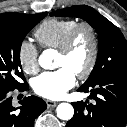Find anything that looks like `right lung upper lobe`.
I'll return each mask as SVG.
<instances>
[{
	"label": "right lung upper lobe",
	"mask_w": 127,
	"mask_h": 127,
	"mask_svg": "<svg viewBox=\"0 0 127 127\" xmlns=\"http://www.w3.org/2000/svg\"><path fill=\"white\" fill-rule=\"evenodd\" d=\"M27 15H30V14H21V13H3V14H0V16L13 18V19L22 18V17H25Z\"/></svg>",
	"instance_id": "obj_1"
}]
</instances>
